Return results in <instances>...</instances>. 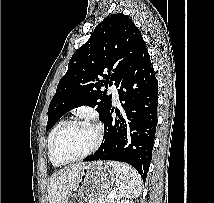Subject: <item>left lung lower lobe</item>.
I'll return each mask as SVG.
<instances>
[{"mask_svg":"<svg viewBox=\"0 0 214 203\" xmlns=\"http://www.w3.org/2000/svg\"><path fill=\"white\" fill-rule=\"evenodd\" d=\"M124 111L111 108L103 117L104 138L99 149L83 161L114 160L132 165L145 182L152 157L157 119L158 82L147 48L136 58L120 82Z\"/></svg>","mask_w":214,"mask_h":203,"instance_id":"obj_1","label":"left lung lower lobe"}]
</instances>
